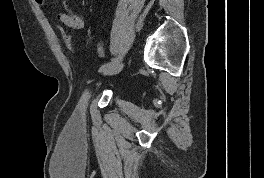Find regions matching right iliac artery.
<instances>
[{
    "label": "right iliac artery",
    "instance_id": "obj_1",
    "mask_svg": "<svg viewBox=\"0 0 264 178\" xmlns=\"http://www.w3.org/2000/svg\"><path fill=\"white\" fill-rule=\"evenodd\" d=\"M121 56H118L117 58L113 59L112 61L102 65L99 69L100 72H104L105 70L111 68L112 66H114L115 64L119 63V61H121Z\"/></svg>",
    "mask_w": 264,
    "mask_h": 178
}]
</instances>
